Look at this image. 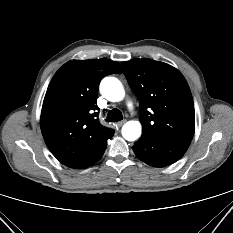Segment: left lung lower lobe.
<instances>
[{
  "label": "left lung lower lobe",
  "mask_w": 233,
  "mask_h": 233,
  "mask_svg": "<svg viewBox=\"0 0 233 233\" xmlns=\"http://www.w3.org/2000/svg\"><path fill=\"white\" fill-rule=\"evenodd\" d=\"M190 143L173 142L152 136H141L135 142L133 150L143 162L153 167H165L179 160Z\"/></svg>",
  "instance_id": "0a47b994"
}]
</instances>
